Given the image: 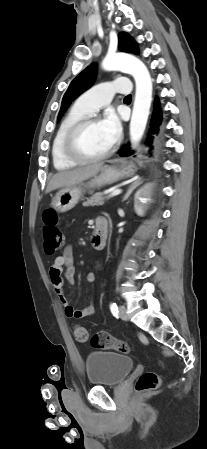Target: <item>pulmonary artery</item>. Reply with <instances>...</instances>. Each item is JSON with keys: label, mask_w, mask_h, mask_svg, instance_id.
<instances>
[{"label": "pulmonary artery", "mask_w": 207, "mask_h": 449, "mask_svg": "<svg viewBox=\"0 0 207 449\" xmlns=\"http://www.w3.org/2000/svg\"><path fill=\"white\" fill-rule=\"evenodd\" d=\"M130 91L131 86L127 79L102 82L82 94L75 105L91 114L109 104L116 93L129 94Z\"/></svg>", "instance_id": "e3ab8cb5"}]
</instances>
